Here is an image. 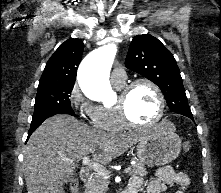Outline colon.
I'll use <instances>...</instances> for the list:
<instances>
[{"instance_id":"5ec220e1","label":"colon","mask_w":221,"mask_h":193,"mask_svg":"<svg viewBox=\"0 0 221 193\" xmlns=\"http://www.w3.org/2000/svg\"><path fill=\"white\" fill-rule=\"evenodd\" d=\"M183 148L185 151H189L191 149L190 143H185L183 145ZM78 191V183L76 181H73L71 184V193H77Z\"/></svg>"}]
</instances>
